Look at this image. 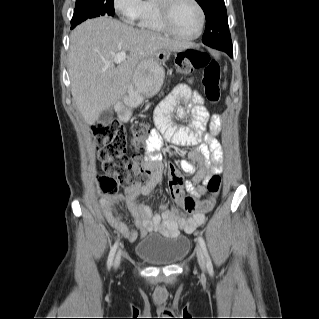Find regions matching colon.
<instances>
[{
    "mask_svg": "<svg viewBox=\"0 0 319 319\" xmlns=\"http://www.w3.org/2000/svg\"><path fill=\"white\" fill-rule=\"evenodd\" d=\"M177 67L183 73L194 69H204L202 85L206 99L217 103L220 99L221 67L217 60L211 59L208 54L197 49H186L177 57ZM151 131L149 123H139L132 128V144L141 148L149 144L147 135ZM99 159L102 161V173L99 175L100 189L104 195H114L121 186H131L149 175V168L145 163V156L138 154L133 157L127 153L128 136L125 127L118 121H109L97 124L92 129ZM154 149H159V144H151ZM188 182L177 174L169 181L171 197L178 201L187 212L200 209L209 212L215 205L214 197L221 190L222 180L219 175H214L206 185L213 198L200 203L197 197L185 195L181 187ZM113 202L110 210H113Z\"/></svg>",
    "mask_w": 319,
    "mask_h": 319,
    "instance_id": "1",
    "label": "colon"
}]
</instances>
